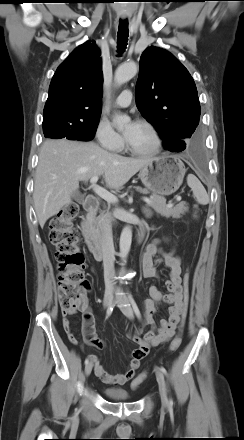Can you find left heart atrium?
<instances>
[{"instance_id":"obj_1","label":"left heart atrium","mask_w":244,"mask_h":440,"mask_svg":"<svg viewBox=\"0 0 244 440\" xmlns=\"http://www.w3.org/2000/svg\"><path fill=\"white\" fill-rule=\"evenodd\" d=\"M137 125H138V123H136V122H132L129 125L126 137H129V136H131L134 133Z\"/></svg>"}]
</instances>
